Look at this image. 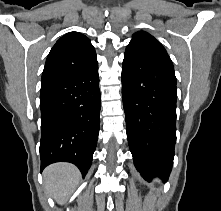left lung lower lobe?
<instances>
[{
  "label": "left lung lower lobe",
  "instance_id": "left-lung-lower-lobe-1",
  "mask_svg": "<svg viewBox=\"0 0 221 211\" xmlns=\"http://www.w3.org/2000/svg\"><path fill=\"white\" fill-rule=\"evenodd\" d=\"M127 138L135 167L151 180L168 178L176 141L174 69L133 55L122 67Z\"/></svg>",
  "mask_w": 221,
  "mask_h": 211
}]
</instances>
